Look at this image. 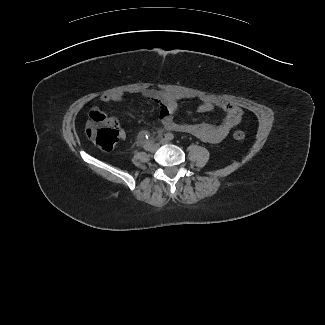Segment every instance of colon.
<instances>
[{
    "label": "colon",
    "mask_w": 325,
    "mask_h": 325,
    "mask_svg": "<svg viewBox=\"0 0 325 325\" xmlns=\"http://www.w3.org/2000/svg\"><path fill=\"white\" fill-rule=\"evenodd\" d=\"M86 135L99 148L111 150L118 141V126L115 120L106 117L99 110H92L86 125ZM233 137L242 141L245 139V133L237 130Z\"/></svg>",
    "instance_id": "obj_1"
}]
</instances>
